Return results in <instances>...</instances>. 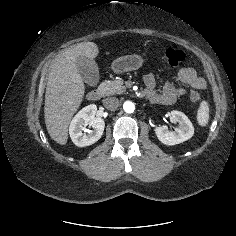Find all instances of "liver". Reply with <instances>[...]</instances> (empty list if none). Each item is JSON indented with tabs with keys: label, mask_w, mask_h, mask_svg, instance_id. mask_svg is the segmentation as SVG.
Returning a JSON list of instances; mask_svg holds the SVG:
<instances>
[{
	"label": "liver",
	"mask_w": 236,
	"mask_h": 236,
	"mask_svg": "<svg viewBox=\"0 0 236 236\" xmlns=\"http://www.w3.org/2000/svg\"><path fill=\"white\" fill-rule=\"evenodd\" d=\"M98 53L99 49L95 43L81 42L58 54L50 66L44 118L50 137L60 145L67 143L69 123L85 93L76 60L80 56L94 59Z\"/></svg>",
	"instance_id": "1"
}]
</instances>
